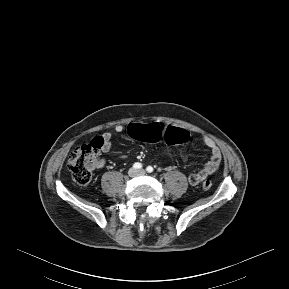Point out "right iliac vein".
<instances>
[{
	"mask_svg": "<svg viewBox=\"0 0 289 289\" xmlns=\"http://www.w3.org/2000/svg\"><path fill=\"white\" fill-rule=\"evenodd\" d=\"M128 174H129L130 177H135L137 175V170L135 168H131L128 171Z\"/></svg>",
	"mask_w": 289,
	"mask_h": 289,
	"instance_id": "63e3f726",
	"label": "right iliac vein"
}]
</instances>
